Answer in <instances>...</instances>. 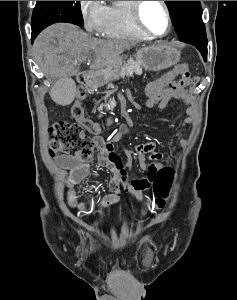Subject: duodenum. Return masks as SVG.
I'll use <instances>...</instances> for the list:
<instances>
[{"mask_svg":"<svg viewBox=\"0 0 237 300\" xmlns=\"http://www.w3.org/2000/svg\"><path fill=\"white\" fill-rule=\"evenodd\" d=\"M81 85L90 93L94 92L100 85L101 76L96 70H86L79 77Z\"/></svg>","mask_w":237,"mask_h":300,"instance_id":"obj_1","label":"duodenum"}]
</instances>
